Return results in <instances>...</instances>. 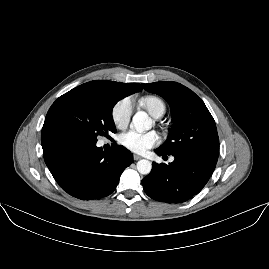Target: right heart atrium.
Returning a JSON list of instances; mask_svg holds the SVG:
<instances>
[{
  "instance_id": "obj_1",
  "label": "right heart atrium",
  "mask_w": 269,
  "mask_h": 269,
  "mask_svg": "<svg viewBox=\"0 0 269 269\" xmlns=\"http://www.w3.org/2000/svg\"><path fill=\"white\" fill-rule=\"evenodd\" d=\"M133 114V101L130 97L118 100L111 109V119L118 129H124L129 124Z\"/></svg>"
}]
</instances>
